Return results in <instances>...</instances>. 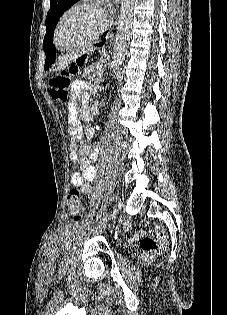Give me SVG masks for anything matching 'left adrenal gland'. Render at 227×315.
<instances>
[{
    "label": "left adrenal gland",
    "mask_w": 227,
    "mask_h": 315,
    "mask_svg": "<svg viewBox=\"0 0 227 315\" xmlns=\"http://www.w3.org/2000/svg\"><path fill=\"white\" fill-rule=\"evenodd\" d=\"M103 81V72L101 71V73H99L97 79L95 80V89H94V93L97 92V89L100 88L99 84Z\"/></svg>",
    "instance_id": "1"
}]
</instances>
